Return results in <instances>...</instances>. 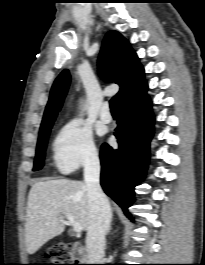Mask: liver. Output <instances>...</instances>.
I'll list each match as a JSON object with an SVG mask.
<instances>
[{
	"mask_svg": "<svg viewBox=\"0 0 205 265\" xmlns=\"http://www.w3.org/2000/svg\"><path fill=\"white\" fill-rule=\"evenodd\" d=\"M70 214L87 230L90 207L84 182L53 179L32 185L27 201L25 242L29 254H34L47 241L62 234L63 216Z\"/></svg>",
	"mask_w": 205,
	"mask_h": 265,
	"instance_id": "1",
	"label": "liver"
}]
</instances>
